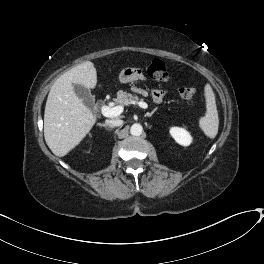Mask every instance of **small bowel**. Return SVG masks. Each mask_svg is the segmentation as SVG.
Instances as JSON below:
<instances>
[{"mask_svg":"<svg viewBox=\"0 0 264 264\" xmlns=\"http://www.w3.org/2000/svg\"><path fill=\"white\" fill-rule=\"evenodd\" d=\"M152 97L156 103H160L164 98V93L161 90H154Z\"/></svg>","mask_w":264,"mask_h":264,"instance_id":"obj_1","label":"small bowel"}]
</instances>
